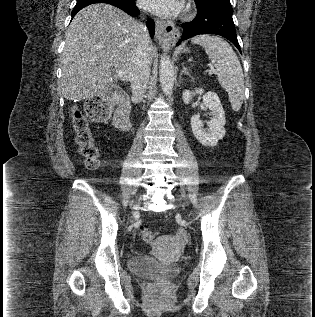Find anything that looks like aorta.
Returning a JSON list of instances; mask_svg holds the SVG:
<instances>
[{
  "label": "aorta",
  "instance_id": "1",
  "mask_svg": "<svg viewBox=\"0 0 315 317\" xmlns=\"http://www.w3.org/2000/svg\"><path fill=\"white\" fill-rule=\"evenodd\" d=\"M174 68L173 64L166 54L161 56L160 66H159V80L163 90V93L170 97L173 92L174 87Z\"/></svg>",
  "mask_w": 315,
  "mask_h": 317
}]
</instances>
